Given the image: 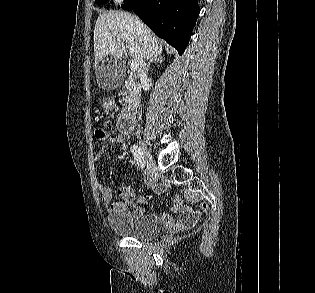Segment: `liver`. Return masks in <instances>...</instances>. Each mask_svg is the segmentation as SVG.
Returning <instances> with one entry per match:
<instances>
[{"instance_id": "liver-1", "label": "liver", "mask_w": 315, "mask_h": 293, "mask_svg": "<svg viewBox=\"0 0 315 293\" xmlns=\"http://www.w3.org/2000/svg\"><path fill=\"white\" fill-rule=\"evenodd\" d=\"M138 22L136 16L126 12L111 11L100 14L94 29L96 63H100L107 55L121 59L126 48L138 66L142 60L160 57L162 43L142 23L140 31Z\"/></svg>"}]
</instances>
